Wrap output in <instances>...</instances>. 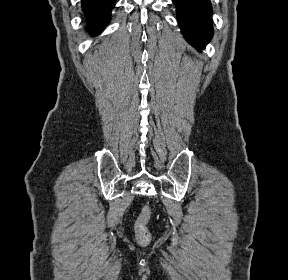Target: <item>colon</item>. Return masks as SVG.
Masks as SVG:
<instances>
[{"mask_svg":"<svg viewBox=\"0 0 288 280\" xmlns=\"http://www.w3.org/2000/svg\"><path fill=\"white\" fill-rule=\"evenodd\" d=\"M152 215L150 205H145L135 223V234L139 243L147 244L151 239L148 223Z\"/></svg>","mask_w":288,"mask_h":280,"instance_id":"1","label":"colon"}]
</instances>
